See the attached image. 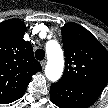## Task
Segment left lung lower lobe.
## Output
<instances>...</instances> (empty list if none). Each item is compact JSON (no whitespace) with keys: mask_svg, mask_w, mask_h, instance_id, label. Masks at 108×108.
<instances>
[{"mask_svg":"<svg viewBox=\"0 0 108 108\" xmlns=\"http://www.w3.org/2000/svg\"><path fill=\"white\" fill-rule=\"evenodd\" d=\"M104 87L60 79L50 87L51 101L59 108H88Z\"/></svg>","mask_w":108,"mask_h":108,"instance_id":"obj_1","label":"left lung lower lobe"}]
</instances>
